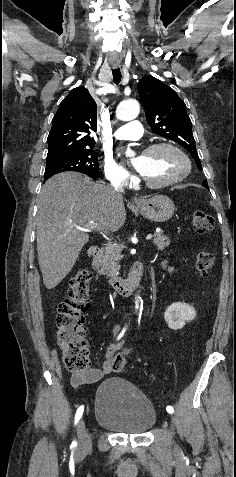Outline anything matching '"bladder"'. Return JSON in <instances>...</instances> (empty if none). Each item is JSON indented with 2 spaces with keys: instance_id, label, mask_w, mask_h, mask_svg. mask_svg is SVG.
Listing matches in <instances>:
<instances>
[{
  "instance_id": "31cf9c89",
  "label": "bladder",
  "mask_w": 236,
  "mask_h": 477,
  "mask_svg": "<svg viewBox=\"0 0 236 477\" xmlns=\"http://www.w3.org/2000/svg\"><path fill=\"white\" fill-rule=\"evenodd\" d=\"M95 421L114 432L141 435L156 423L157 413L148 397L132 383L106 378L94 399Z\"/></svg>"
}]
</instances>
